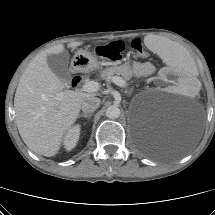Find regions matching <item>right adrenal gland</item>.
<instances>
[{
  "label": "right adrenal gland",
  "mask_w": 215,
  "mask_h": 215,
  "mask_svg": "<svg viewBox=\"0 0 215 215\" xmlns=\"http://www.w3.org/2000/svg\"><path fill=\"white\" fill-rule=\"evenodd\" d=\"M91 116H92V114L90 113V114H86V113H84V114H80L78 117L80 118V117H84V118H91Z\"/></svg>",
  "instance_id": "right-adrenal-gland-1"
}]
</instances>
